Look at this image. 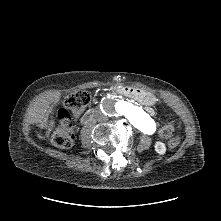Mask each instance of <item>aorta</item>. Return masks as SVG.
I'll return each instance as SVG.
<instances>
[{
    "instance_id": "obj_1",
    "label": "aorta",
    "mask_w": 221,
    "mask_h": 221,
    "mask_svg": "<svg viewBox=\"0 0 221 221\" xmlns=\"http://www.w3.org/2000/svg\"><path fill=\"white\" fill-rule=\"evenodd\" d=\"M116 110L124 115L129 122L140 131L151 134L155 130V124L151 118L140 108L131 102L117 101L115 103Z\"/></svg>"
}]
</instances>
